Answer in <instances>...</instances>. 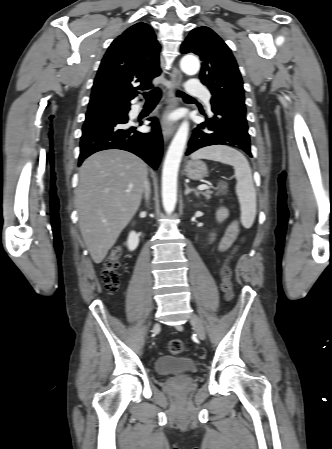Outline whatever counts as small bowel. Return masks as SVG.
<instances>
[{
	"label": "small bowel",
	"mask_w": 332,
	"mask_h": 449,
	"mask_svg": "<svg viewBox=\"0 0 332 449\" xmlns=\"http://www.w3.org/2000/svg\"><path fill=\"white\" fill-rule=\"evenodd\" d=\"M229 217V212L225 207H220L217 210V221L219 224L225 222ZM239 232V227L236 222H232L225 233L220 239L219 250L225 251L230 248L233 241L237 238Z\"/></svg>",
	"instance_id": "1"
}]
</instances>
